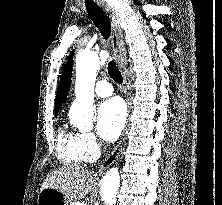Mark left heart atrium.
Listing matches in <instances>:
<instances>
[{
  "instance_id": "obj_1",
  "label": "left heart atrium",
  "mask_w": 222,
  "mask_h": 205,
  "mask_svg": "<svg viewBox=\"0 0 222 205\" xmlns=\"http://www.w3.org/2000/svg\"><path fill=\"white\" fill-rule=\"evenodd\" d=\"M126 122L124 103L119 98L103 102L98 109L97 128L100 136L107 141L116 140Z\"/></svg>"
}]
</instances>
